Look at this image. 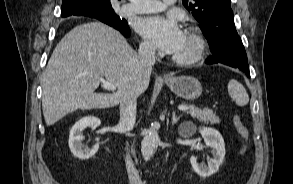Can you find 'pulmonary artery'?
<instances>
[{"label": "pulmonary artery", "instance_id": "pulmonary-artery-1", "mask_svg": "<svg viewBox=\"0 0 293 184\" xmlns=\"http://www.w3.org/2000/svg\"><path fill=\"white\" fill-rule=\"evenodd\" d=\"M176 0H131L122 8L126 15L155 13L164 10L167 6L174 4Z\"/></svg>", "mask_w": 293, "mask_h": 184}]
</instances>
